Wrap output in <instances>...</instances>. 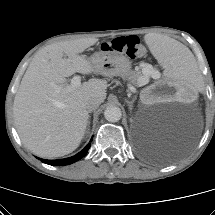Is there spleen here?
<instances>
[{
	"label": "spleen",
	"instance_id": "obj_1",
	"mask_svg": "<svg viewBox=\"0 0 215 215\" xmlns=\"http://www.w3.org/2000/svg\"><path fill=\"white\" fill-rule=\"evenodd\" d=\"M146 43L152 54L166 67L168 78L191 87L200 80L196 60L179 42L147 36Z\"/></svg>",
	"mask_w": 215,
	"mask_h": 215
}]
</instances>
